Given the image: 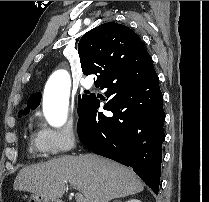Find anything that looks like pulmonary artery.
<instances>
[{"mask_svg":"<svg viewBox=\"0 0 209 202\" xmlns=\"http://www.w3.org/2000/svg\"><path fill=\"white\" fill-rule=\"evenodd\" d=\"M92 83L93 82L90 79H85L81 82L82 86H84V87H90L92 85Z\"/></svg>","mask_w":209,"mask_h":202,"instance_id":"obj_1","label":"pulmonary artery"}]
</instances>
